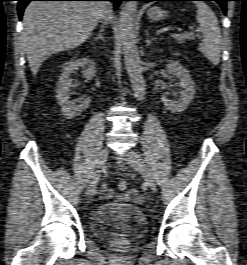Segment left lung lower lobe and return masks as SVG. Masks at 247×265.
<instances>
[{"instance_id":"1","label":"left lung lower lobe","mask_w":247,"mask_h":265,"mask_svg":"<svg viewBox=\"0 0 247 265\" xmlns=\"http://www.w3.org/2000/svg\"><path fill=\"white\" fill-rule=\"evenodd\" d=\"M135 1H145L146 3L151 1H177V0H135ZM187 1H197V0H187ZM203 1H216L223 9L224 14L227 12L226 2L230 0H203Z\"/></svg>"}]
</instances>
